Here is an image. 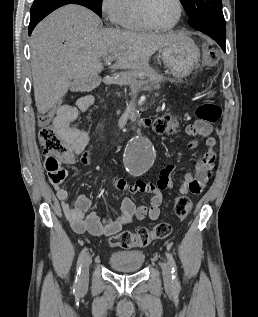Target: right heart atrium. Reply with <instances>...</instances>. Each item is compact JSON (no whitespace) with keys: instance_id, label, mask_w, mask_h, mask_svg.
<instances>
[{"instance_id":"1","label":"right heart atrium","mask_w":258,"mask_h":317,"mask_svg":"<svg viewBox=\"0 0 258 317\" xmlns=\"http://www.w3.org/2000/svg\"><path fill=\"white\" fill-rule=\"evenodd\" d=\"M100 12L107 26H121V0H102L100 3Z\"/></svg>"}]
</instances>
